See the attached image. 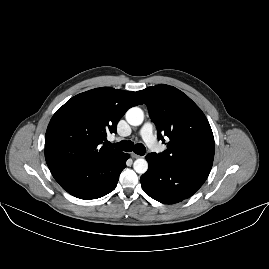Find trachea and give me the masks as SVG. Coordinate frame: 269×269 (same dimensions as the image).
<instances>
[{
  "instance_id": "3493384b",
  "label": "trachea",
  "mask_w": 269,
  "mask_h": 269,
  "mask_svg": "<svg viewBox=\"0 0 269 269\" xmlns=\"http://www.w3.org/2000/svg\"><path fill=\"white\" fill-rule=\"evenodd\" d=\"M116 149L131 152L134 151L136 154L143 156L145 154V146L142 143H137L134 145L132 141H121L114 144Z\"/></svg>"
}]
</instances>
